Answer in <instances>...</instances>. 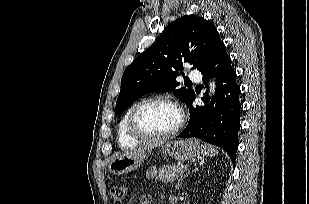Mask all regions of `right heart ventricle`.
Returning a JSON list of instances; mask_svg holds the SVG:
<instances>
[{"label":"right heart ventricle","mask_w":309,"mask_h":204,"mask_svg":"<svg viewBox=\"0 0 309 204\" xmlns=\"http://www.w3.org/2000/svg\"><path fill=\"white\" fill-rule=\"evenodd\" d=\"M136 104H133L128 110L124 113L122 119L120 120L118 126V143L122 148L134 147L139 143V140H136L130 136L127 130V121L131 110Z\"/></svg>","instance_id":"1"}]
</instances>
